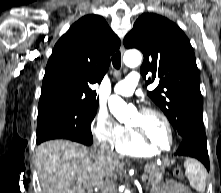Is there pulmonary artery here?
Returning a JSON list of instances; mask_svg holds the SVG:
<instances>
[{"label":"pulmonary artery","mask_w":221,"mask_h":193,"mask_svg":"<svg viewBox=\"0 0 221 193\" xmlns=\"http://www.w3.org/2000/svg\"><path fill=\"white\" fill-rule=\"evenodd\" d=\"M139 78L140 75L138 72L133 71L129 73L122 81L114 86V92L125 96L132 95L139 82Z\"/></svg>","instance_id":"pulmonary-artery-1"}]
</instances>
